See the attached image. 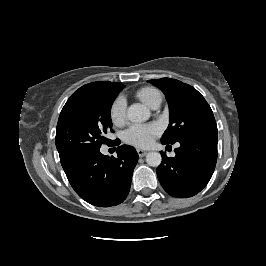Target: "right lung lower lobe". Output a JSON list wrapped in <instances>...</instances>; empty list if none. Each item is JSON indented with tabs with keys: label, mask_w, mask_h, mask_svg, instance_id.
<instances>
[{
	"label": "right lung lower lobe",
	"mask_w": 266,
	"mask_h": 266,
	"mask_svg": "<svg viewBox=\"0 0 266 266\" xmlns=\"http://www.w3.org/2000/svg\"><path fill=\"white\" fill-rule=\"evenodd\" d=\"M119 144L117 139L112 145ZM115 150L117 158H109L98 150L74 163L66 172L75 192L92 205L115 206L123 202L129 193L138 154L125 145L115 147Z\"/></svg>",
	"instance_id": "obj_1"
}]
</instances>
